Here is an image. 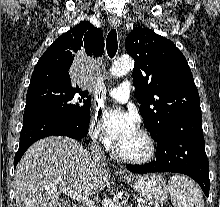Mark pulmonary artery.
Segmentation results:
<instances>
[{"mask_svg": "<svg viewBox=\"0 0 220 207\" xmlns=\"http://www.w3.org/2000/svg\"><path fill=\"white\" fill-rule=\"evenodd\" d=\"M131 92V83L129 81L122 82L118 87L109 89L107 94L114 100L125 103L129 100Z\"/></svg>", "mask_w": 220, "mask_h": 207, "instance_id": "e3ab8cb5", "label": "pulmonary artery"}]
</instances>
